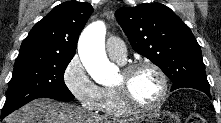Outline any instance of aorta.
<instances>
[{
  "label": "aorta",
  "mask_w": 221,
  "mask_h": 123,
  "mask_svg": "<svg viewBox=\"0 0 221 123\" xmlns=\"http://www.w3.org/2000/svg\"><path fill=\"white\" fill-rule=\"evenodd\" d=\"M106 26L103 21L89 24L81 33L78 43L80 59L93 79L102 85L113 81L116 67L105 52Z\"/></svg>",
  "instance_id": "obj_1"
}]
</instances>
